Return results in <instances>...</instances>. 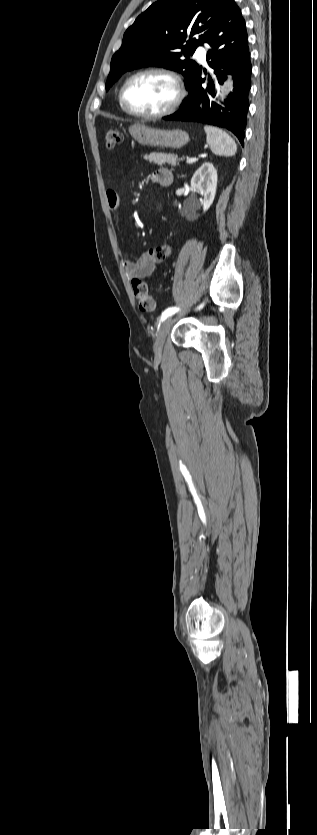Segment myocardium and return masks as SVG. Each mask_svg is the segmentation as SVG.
Segmentation results:
<instances>
[{"mask_svg": "<svg viewBox=\"0 0 317 835\" xmlns=\"http://www.w3.org/2000/svg\"><path fill=\"white\" fill-rule=\"evenodd\" d=\"M147 74H159V75H163V76L169 78L173 82V84L175 86V89H176V95H175L174 99L172 100V102L165 109H163L159 112H156V113L138 112V111L134 110L133 108H131V106L128 104V102L126 100V89H127L128 85L134 79H136L140 76H143V75H147ZM185 95H186V91L184 89L183 82H182V80H181V78L179 77L178 74H176L174 71H172L170 69H166V68H162V67H150V68H145V69H142V70H139V71L133 73L131 76H129L125 80V82L123 83V85H122V87L119 91V101H120L123 109L126 112H128L129 114H131L135 117L144 118V119H158V118H162V117H165V116H168V115L174 113L179 108L181 103L183 102V100L185 98Z\"/></svg>", "mask_w": 317, "mask_h": 835, "instance_id": "obj_1", "label": "myocardium"}]
</instances>
